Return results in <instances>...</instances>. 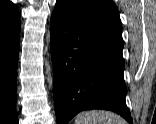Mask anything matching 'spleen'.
I'll return each instance as SVG.
<instances>
[{"label": "spleen", "instance_id": "obj_1", "mask_svg": "<svg viewBox=\"0 0 156 124\" xmlns=\"http://www.w3.org/2000/svg\"><path fill=\"white\" fill-rule=\"evenodd\" d=\"M74 124H127L119 115L110 111L92 110L77 115Z\"/></svg>", "mask_w": 156, "mask_h": 124}]
</instances>
